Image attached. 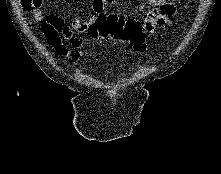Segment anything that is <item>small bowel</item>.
Segmentation results:
<instances>
[{
  "label": "small bowel",
  "mask_w": 221,
  "mask_h": 174,
  "mask_svg": "<svg viewBox=\"0 0 221 174\" xmlns=\"http://www.w3.org/2000/svg\"><path fill=\"white\" fill-rule=\"evenodd\" d=\"M42 4V1H41ZM41 4L34 10V20L41 23L42 32L47 41L59 53L66 54V46L60 42V35L74 46H79L81 41L76 37L73 31L83 34L87 33L100 15H105L106 6H115V0H92V9L87 19L76 17L71 22V27L65 25L64 20L58 16H44L41 11ZM148 9L143 22V28L147 35H151L156 28L167 26L172 22L175 16V5L167 0H144L143 5L139 6L134 13H140ZM79 53L73 54L72 58L76 59Z\"/></svg>",
  "instance_id": "1"
}]
</instances>
